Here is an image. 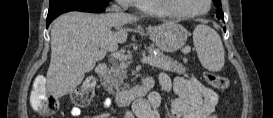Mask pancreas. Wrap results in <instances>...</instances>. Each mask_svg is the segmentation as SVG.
Here are the masks:
<instances>
[{"label": "pancreas", "instance_id": "1", "mask_svg": "<svg viewBox=\"0 0 273 118\" xmlns=\"http://www.w3.org/2000/svg\"><path fill=\"white\" fill-rule=\"evenodd\" d=\"M149 51L151 53L150 65L165 71L176 72L178 74H185L187 71L186 67L164 55L158 49L150 47ZM154 51L157 52V55L153 54ZM184 62H187V60L184 59ZM128 66L129 63L126 60H120L119 62L113 61L112 67L108 70V73L103 77L102 81V85L108 93L119 94L121 91L129 87L128 84H124V79L127 78L126 74Z\"/></svg>", "mask_w": 273, "mask_h": 118}]
</instances>
